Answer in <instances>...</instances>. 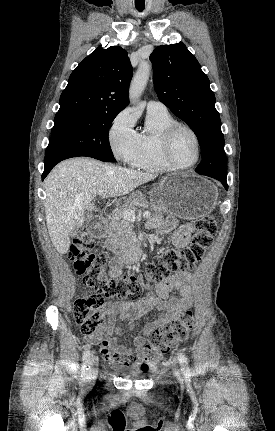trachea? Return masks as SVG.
Wrapping results in <instances>:
<instances>
[{
	"label": "trachea",
	"mask_w": 275,
	"mask_h": 431,
	"mask_svg": "<svg viewBox=\"0 0 275 431\" xmlns=\"http://www.w3.org/2000/svg\"><path fill=\"white\" fill-rule=\"evenodd\" d=\"M137 10H138L139 12H142V11L144 10V7H137Z\"/></svg>",
	"instance_id": "obj_1"
}]
</instances>
